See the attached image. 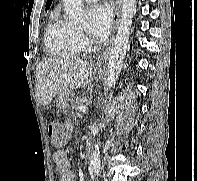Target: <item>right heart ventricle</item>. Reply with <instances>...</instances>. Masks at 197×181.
<instances>
[{"label":"right heart ventricle","mask_w":197,"mask_h":181,"mask_svg":"<svg viewBox=\"0 0 197 181\" xmlns=\"http://www.w3.org/2000/svg\"><path fill=\"white\" fill-rule=\"evenodd\" d=\"M44 41L48 53L53 57L72 58L80 53L77 30L57 14L48 21Z\"/></svg>","instance_id":"e07e8e85"}]
</instances>
